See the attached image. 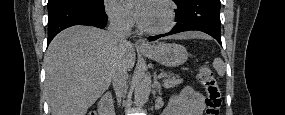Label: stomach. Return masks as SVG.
Masks as SVG:
<instances>
[{"instance_id": "obj_1", "label": "stomach", "mask_w": 285, "mask_h": 115, "mask_svg": "<svg viewBox=\"0 0 285 115\" xmlns=\"http://www.w3.org/2000/svg\"><path fill=\"white\" fill-rule=\"evenodd\" d=\"M142 53L166 67L182 65L188 58L186 48L174 43H160Z\"/></svg>"}]
</instances>
